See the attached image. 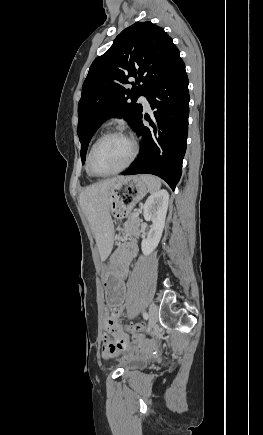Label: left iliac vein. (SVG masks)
<instances>
[{
  "mask_svg": "<svg viewBox=\"0 0 263 435\" xmlns=\"http://www.w3.org/2000/svg\"><path fill=\"white\" fill-rule=\"evenodd\" d=\"M157 320H158V309H157V306L154 303H152L150 305V310H149L148 329L153 328L155 326Z\"/></svg>",
  "mask_w": 263,
  "mask_h": 435,
  "instance_id": "left-iliac-vein-1",
  "label": "left iliac vein"
}]
</instances>
